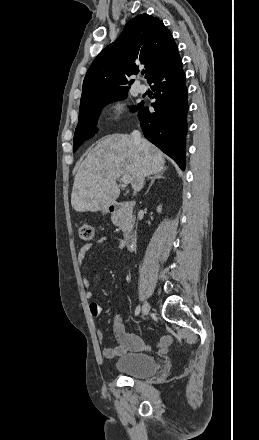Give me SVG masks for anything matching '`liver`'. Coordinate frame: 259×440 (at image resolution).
<instances>
[{
  "mask_svg": "<svg viewBox=\"0 0 259 440\" xmlns=\"http://www.w3.org/2000/svg\"><path fill=\"white\" fill-rule=\"evenodd\" d=\"M164 154L146 139L134 142L132 135L102 138L79 166L74 179L71 205L78 212L106 210L120 195L116 180L132 177L134 192L142 189L146 176L164 171Z\"/></svg>",
  "mask_w": 259,
  "mask_h": 440,
  "instance_id": "obj_1",
  "label": "liver"
}]
</instances>
